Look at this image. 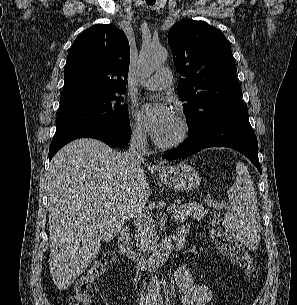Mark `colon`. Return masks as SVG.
<instances>
[{
	"mask_svg": "<svg viewBox=\"0 0 297 305\" xmlns=\"http://www.w3.org/2000/svg\"><path fill=\"white\" fill-rule=\"evenodd\" d=\"M208 230L213 244L229 260L240 267L246 274H255L254 260L250 252L228 230L221 215L213 212L210 215ZM112 255L97 262L80 278L73 287V293L69 299V305H91L96 295L95 281L107 272L112 262Z\"/></svg>",
	"mask_w": 297,
	"mask_h": 305,
	"instance_id": "colon-1",
	"label": "colon"
}]
</instances>
